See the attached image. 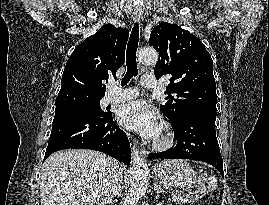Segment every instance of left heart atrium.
<instances>
[{"mask_svg": "<svg viewBox=\"0 0 269 205\" xmlns=\"http://www.w3.org/2000/svg\"><path fill=\"white\" fill-rule=\"evenodd\" d=\"M118 119L125 128L138 131L145 138L154 139L159 135L158 118L144 101H132L121 106Z\"/></svg>", "mask_w": 269, "mask_h": 205, "instance_id": "39dd6f15", "label": "left heart atrium"}]
</instances>
